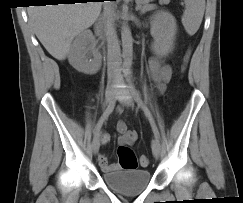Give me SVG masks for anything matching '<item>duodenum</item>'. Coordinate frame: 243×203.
I'll return each instance as SVG.
<instances>
[{"instance_id":"duodenum-1","label":"duodenum","mask_w":243,"mask_h":203,"mask_svg":"<svg viewBox=\"0 0 243 203\" xmlns=\"http://www.w3.org/2000/svg\"><path fill=\"white\" fill-rule=\"evenodd\" d=\"M96 30H97L98 32H101V30H102V26H101V24H98V25L96 26Z\"/></svg>"}]
</instances>
